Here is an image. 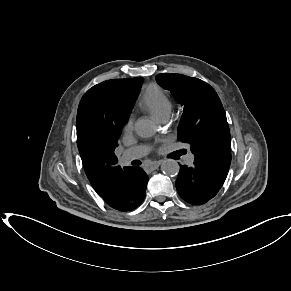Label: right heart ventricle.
<instances>
[{"instance_id":"right-heart-ventricle-1","label":"right heart ventricle","mask_w":291,"mask_h":291,"mask_svg":"<svg viewBox=\"0 0 291 291\" xmlns=\"http://www.w3.org/2000/svg\"><path fill=\"white\" fill-rule=\"evenodd\" d=\"M140 105L156 119L168 116L172 109V101L168 94L157 84H149L141 97Z\"/></svg>"}]
</instances>
